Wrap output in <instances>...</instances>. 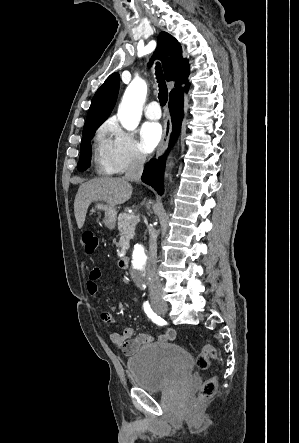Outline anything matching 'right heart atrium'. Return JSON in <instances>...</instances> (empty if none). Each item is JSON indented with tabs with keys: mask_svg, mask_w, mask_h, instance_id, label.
<instances>
[{
	"mask_svg": "<svg viewBox=\"0 0 299 443\" xmlns=\"http://www.w3.org/2000/svg\"><path fill=\"white\" fill-rule=\"evenodd\" d=\"M101 132L107 137L109 157L116 172L122 173L144 165L146 155L138 142L115 121L106 122Z\"/></svg>",
	"mask_w": 299,
	"mask_h": 443,
	"instance_id": "1",
	"label": "right heart atrium"
}]
</instances>
